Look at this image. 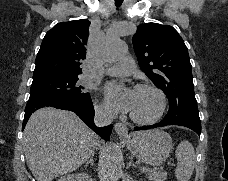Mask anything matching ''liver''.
I'll return each instance as SVG.
<instances>
[{
	"instance_id": "liver-1",
	"label": "liver",
	"mask_w": 228,
	"mask_h": 181,
	"mask_svg": "<svg viewBox=\"0 0 228 181\" xmlns=\"http://www.w3.org/2000/svg\"><path fill=\"white\" fill-rule=\"evenodd\" d=\"M100 143L75 113L53 107L32 113L23 137L26 163L36 181H53L76 171Z\"/></svg>"
}]
</instances>
